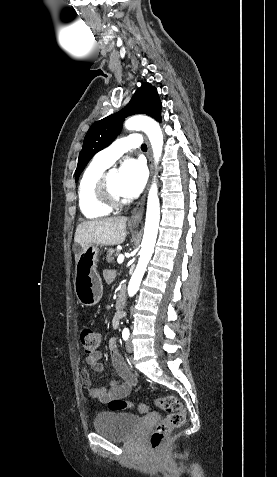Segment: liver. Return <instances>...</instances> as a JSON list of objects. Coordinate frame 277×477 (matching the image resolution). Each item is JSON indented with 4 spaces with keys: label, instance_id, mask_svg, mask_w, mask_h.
Listing matches in <instances>:
<instances>
[{
    "label": "liver",
    "instance_id": "1",
    "mask_svg": "<svg viewBox=\"0 0 277 477\" xmlns=\"http://www.w3.org/2000/svg\"><path fill=\"white\" fill-rule=\"evenodd\" d=\"M126 222L124 216L84 221L76 228L74 242L81 246V250L90 244H121L126 237ZM79 252L75 254L76 261Z\"/></svg>",
    "mask_w": 277,
    "mask_h": 477
}]
</instances>
